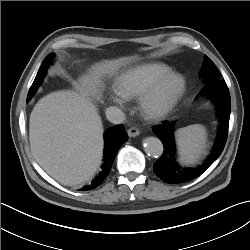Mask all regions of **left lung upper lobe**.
Returning a JSON list of instances; mask_svg holds the SVG:
<instances>
[{
	"instance_id": "5c2ea615",
	"label": "left lung upper lobe",
	"mask_w": 250,
	"mask_h": 250,
	"mask_svg": "<svg viewBox=\"0 0 250 250\" xmlns=\"http://www.w3.org/2000/svg\"><path fill=\"white\" fill-rule=\"evenodd\" d=\"M199 75L205 83L220 79V74L218 73L217 67L207 56H204L203 64Z\"/></svg>"
}]
</instances>
